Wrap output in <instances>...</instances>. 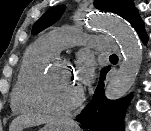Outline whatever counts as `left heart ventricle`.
<instances>
[{
  "label": "left heart ventricle",
  "instance_id": "1",
  "mask_svg": "<svg viewBox=\"0 0 151 131\" xmlns=\"http://www.w3.org/2000/svg\"><path fill=\"white\" fill-rule=\"evenodd\" d=\"M81 84L70 67L55 65L40 83L42 98L50 105L60 106L76 97Z\"/></svg>",
  "mask_w": 151,
  "mask_h": 131
}]
</instances>
